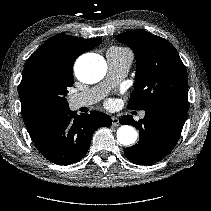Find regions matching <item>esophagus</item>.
<instances>
[{"mask_svg":"<svg viewBox=\"0 0 211 211\" xmlns=\"http://www.w3.org/2000/svg\"><path fill=\"white\" fill-rule=\"evenodd\" d=\"M112 125L113 126H119L120 125L119 119L115 116L112 117Z\"/></svg>","mask_w":211,"mask_h":211,"instance_id":"esophagus-1","label":"esophagus"}]
</instances>
